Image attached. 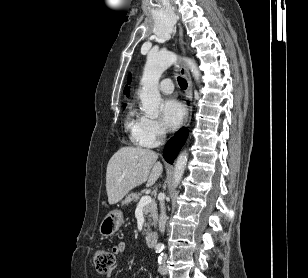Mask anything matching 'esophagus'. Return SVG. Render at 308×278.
<instances>
[{"label":"esophagus","instance_id":"1","mask_svg":"<svg viewBox=\"0 0 308 278\" xmlns=\"http://www.w3.org/2000/svg\"><path fill=\"white\" fill-rule=\"evenodd\" d=\"M179 40H180L182 53H183V55H185L186 50H185V43H184V35H183V29H182L181 26L179 27ZM180 73H181L182 76H184V78L187 81L186 97H187V100L189 101V105H188V108H187L186 117H185L183 125H182L183 127H187L189 125L190 121H191V114H192L191 100H192L193 85H192V80H191V76H190V73H189V69L185 64H183L181 66Z\"/></svg>","mask_w":308,"mask_h":278}]
</instances>
